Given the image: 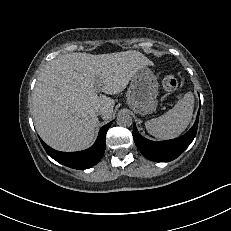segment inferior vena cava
Wrapping results in <instances>:
<instances>
[{
	"label": "inferior vena cava",
	"instance_id": "602c4592",
	"mask_svg": "<svg viewBox=\"0 0 231 231\" xmlns=\"http://www.w3.org/2000/svg\"><path fill=\"white\" fill-rule=\"evenodd\" d=\"M102 113H103V109H100V110H97V111H96V114H97V115H101Z\"/></svg>",
	"mask_w": 231,
	"mask_h": 231
}]
</instances>
